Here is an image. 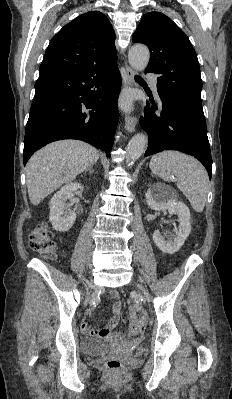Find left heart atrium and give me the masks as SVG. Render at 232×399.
Masks as SVG:
<instances>
[{
    "mask_svg": "<svg viewBox=\"0 0 232 399\" xmlns=\"http://www.w3.org/2000/svg\"><path fill=\"white\" fill-rule=\"evenodd\" d=\"M124 102H125V105L128 106V104H129V99L126 98Z\"/></svg>",
    "mask_w": 232,
    "mask_h": 399,
    "instance_id": "left-heart-atrium-1",
    "label": "left heart atrium"
}]
</instances>
